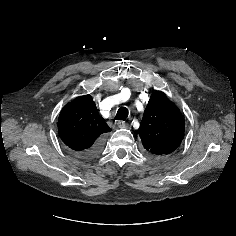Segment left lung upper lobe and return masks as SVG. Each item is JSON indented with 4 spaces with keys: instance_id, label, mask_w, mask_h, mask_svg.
<instances>
[{
    "instance_id": "left-lung-upper-lobe-1",
    "label": "left lung upper lobe",
    "mask_w": 236,
    "mask_h": 236,
    "mask_svg": "<svg viewBox=\"0 0 236 236\" xmlns=\"http://www.w3.org/2000/svg\"><path fill=\"white\" fill-rule=\"evenodd\" d=\"M185 121L177 106L161 91H155L145 108L138 133L146 153L164 159L184 138Z\"/></svg>"
}]
</instances>
